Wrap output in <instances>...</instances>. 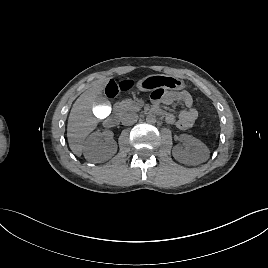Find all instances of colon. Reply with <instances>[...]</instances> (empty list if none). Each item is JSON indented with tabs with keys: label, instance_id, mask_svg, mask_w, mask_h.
I'll return each mask as SVG.
<instances>
[{
	"label": "colon",
	"instance_id": "obj_1",
	"mask_svg": "<svg viewBox=\"0 0 268 268\" xmlns=\"http://www.w3.org/2000/svg\"><path fill=\"white\" fill-rule=\"evenodd\" d=\"M132 85L133 83L131 81H121V82L110 81L105 87L104 94L109 98H113L120 91L130 89Z\"/></svg>",
	"mask_w": 268,
	"mask_h": 268
}]
</instances>
